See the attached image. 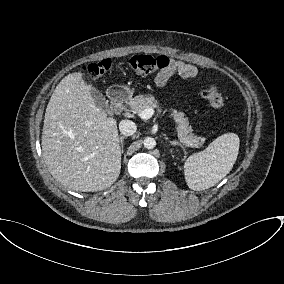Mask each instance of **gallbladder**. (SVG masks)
I'll list each match as a JSON object with an SVG mask.
<instances>
[{
    "label": "gallbladder",
    "instance_id": "gallbladder-1",
    "mask_svg": "<svg viewBox=\"0 0 284 284\" xmlns=\"http://www.w3.org/2000/svg\"><path fill=\"white\" fill-rule=\"evenodd\" d=\"M90 93H91V95L93 97L95 105L98 108H100V109H102V110H104L106 112H109L108 102L105 99V97L103 96V94L100 91H98L97 89L93 88V87L90 88Z\"/></svg>",
    "mask_w": 284,
    "mask_h": 284
}]
</instances>
